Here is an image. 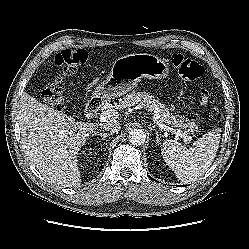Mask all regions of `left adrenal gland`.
I'll use <instances>...</instances> for the list:
<instances>
[{
  "label": "left adrenal gland",
  "mask_w": 249,
  "mask_h": 249,
  "mask_svg": "<svg viewBox=\"0 0 249 249\" xmlns=\"http://www.w3.org/2000/svg\"><path fill=\"white\" fill-rule=\"evenodd\" d=\"M154 130V129H153ZM156 132V144H158L159 145V134H158V132L157 131H155Z\"/></svg>",
  "instance_id": "a2214340"
}]
</instances>
